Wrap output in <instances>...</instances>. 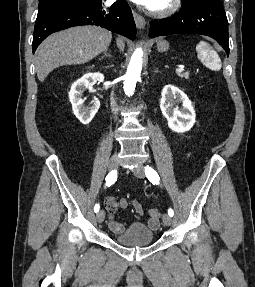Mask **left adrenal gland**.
<instances>
[{"label":"left adrenal gland","instance_id":"left-adrenal-gland-1","mask_svg":"<svg viewBox=\"0 0 255 287\" xmlns=\"http://www.w3.org/2000/svg\"><path fill=\"white\" fill-rule=\"evenodd\" d=\"M155 72H158V68H156Z\"/></svg>","mask_w":255,"mask_h":287}]
</instances>
